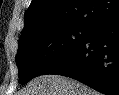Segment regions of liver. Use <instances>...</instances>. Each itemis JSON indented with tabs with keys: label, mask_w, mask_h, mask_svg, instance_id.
I'll return each instance as SVG.
<instances>
[{
	"label": "liver",
	"mask_w": 119,
	"mask_h": 95,
	"mask_svg": "<svg viewBox=\"0 0 119 95\" xmlns=\"http://www.w3.org/2000/svg\"><path fill=\"white\" fill-rule=\"evenodd\" d=\"M17 95H100V93L76 80L49 74L34 78Z\"/></svg>",
	"instance_id": "obj_1"
}]
</instances>
